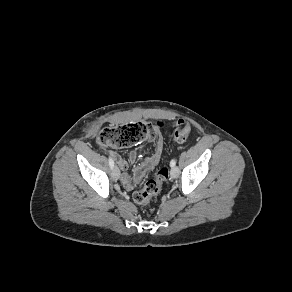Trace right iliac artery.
<instances>
[{
  "instance_id": "right-iliac-artery-1",
  "label": "right iliac artery",
  "mask_w": 292,
  "mask_h": 292,
  "mask_svg": "<svg viewBox=\"0 0 292 292\" xmlns=\"http://www.w3.org/2000/svg\"><path fill=\"white\" fill-rule=\"evenodd\" d=\"M109 165H110L111 169H113V167H114V161H113V159L110 156H109Z\"/></svg>"
}]
</instances>
